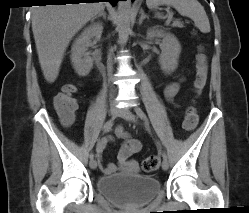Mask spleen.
Returning a JSON list of instances; mask_svg holds the SVG:
<instances>
[{"instance_id": "obj_1", "label": "spleen", "mask_w": 249, "mask_h": 213, "mask_svg": "<svg viewBox=\"0 0 249 213\" xmlns=\"http://www.w3.org/2000/svg\"><path fill=\"white\" fill-rule=\"evenodd\" d=\"M150 9H157L160 5L174 7L182 16L191 18L196 27L203 33L210 32V23L204 7L197 0H146ZM162 17L161 14H156Z\"/></svg>"}]
</instances>
